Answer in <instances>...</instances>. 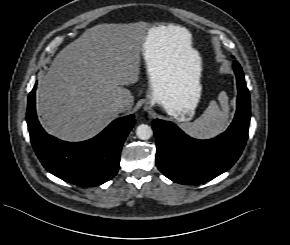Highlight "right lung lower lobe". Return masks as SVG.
Listing matches in <instances>:
<instances>
[{"instance_id": "98d812e1", "label": "right lung lower lobe", "mask_w": 290, "mask_h": 245, "mask_svg": "<svg viewBox=\"0 0 290 245\" xmlns=\"http://www.w3.org/2000/svg\"><path fill=\"white\" fill-rule=\"evenodd\" d=\"M35 90L28 96L26 120L33 148L47 171L75 185L97 186L114 177L122 145L134 126V115L114 120L94 138L65 142L47 134L36 116Z\"/></svg>"}]
</instances>
